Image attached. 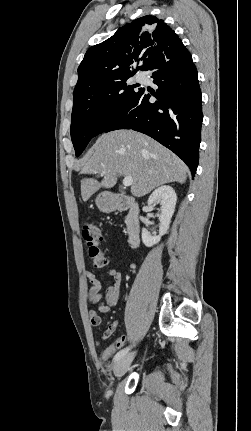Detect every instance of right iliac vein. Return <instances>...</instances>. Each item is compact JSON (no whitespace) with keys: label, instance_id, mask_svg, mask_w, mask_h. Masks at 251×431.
Masks as SVG:
<instances>
[{"label":"right iliac vein","instance_id":"obj_1","mask_svg":"<svg viewBox=\"0 0 251 431\" xmlns=\"http://www.w3.org/2000/svg\"><path fill=\"white\" fill-rule=\"evenodd\" d=\"M133 358H134V353H130L120 358L114 365V368H113L114 375L116 377L123 376L128 370Z\"/></svg>","mask_w":251,"mask_h":431}]
</instances>
